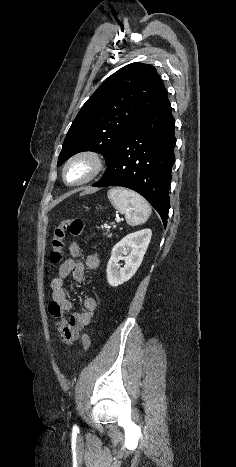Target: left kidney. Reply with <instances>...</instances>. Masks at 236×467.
Listing matches in <instances>:
<instances>
[{"label": "left kidney", "instance_id": "obj_1", "mask_svg": "<svg viewBox=\"0 0 236 467\" xmlns=\"http://www.w3.org/2000/svg\"><path fill=\"white\" fill-rule=\"evenodd\" d=\"M151 236L150 229H143L128 234L113 247L107 265V280L110 286L117 287L133 277L142 263ZM120 260L125 261L123 268H119Z\"/></svg>", "mask_w": 236, "mask_h": 467}]
</instances>
